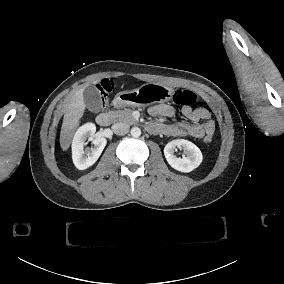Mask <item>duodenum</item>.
Instances as JSON below:
<instances>
[{"mask_svg":"<svg viewBox=\"0 0 284 284\" xmlns=\"http://www.w3.org/2000/svg\"><path fill=\"white\" fill-rule=\"evenodd\" d=\"M121 102L119 98L114 100L115 105H119ZM96 122L102 127L108 126L111 122V115L107 112H100L96 115Z\"/></svg>","mask_w":284,"mask_h":284,"instance_id":"duodenum-1","label":"duodenum"}]
</instances>
